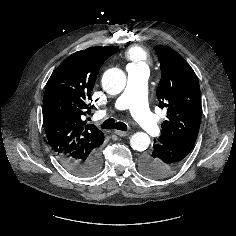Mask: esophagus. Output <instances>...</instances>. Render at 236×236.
<instances>
[{"label":"esophagus","mask_w":236,"mask_h":236,"mask_svg":"<svg viewBox=\"0 0 236 236\" xmlns=\"http://www.w3.org/2000/svg\"><path fill=\"white\" fill-rule=\"evenodd\" d=\"M115 134H117L118 136H127L129 134V132H124V131H120V130H115Z\"/></svg>","instance_id":"obj_1"}]
</instances>
